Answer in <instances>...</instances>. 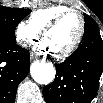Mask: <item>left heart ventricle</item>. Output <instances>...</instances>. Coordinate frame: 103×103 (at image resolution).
<instances>
[{
	"label": "left heart ventricle",
	"instance_id": "left-heart-ventricle-1",
	"mask_svg": "<svg viewBox=\"0 0 103 103\" xmlns=\"http://www.w3.org/2000/svg\"><path fill=\"white\" fill-rule=\"evenodd\" d=\"M79 28V17L75 14H71L56 28L48 32L44 36V39L48 41L51 52H60L66 49L76 38Z\"/></svg>",
	"mask_w": 103,
	"mask_h": 103
}]
</instances>
